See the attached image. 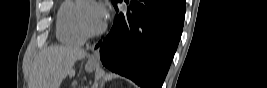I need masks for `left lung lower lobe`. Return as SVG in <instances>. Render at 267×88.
Here are the masks:
<instances>
[{
	"instance_id": "1",
	"label": "left lung lower lobe",
	"mask_w": 267,
	"mask_h": 88,
	"mask_svg": "<svg viewBox=\"0 0 267 88\" xmlns=\"http://www.w3.org/2000/svg\"><path fill=\"white\" fill-rule=\"evenodd\" d=\"M128 2L127 0H125ZM119 12L103 42L104 66L143 88H161L184 23L183 0H132Z\"/></svg>"
}]
</instances>
